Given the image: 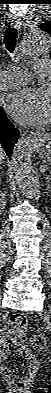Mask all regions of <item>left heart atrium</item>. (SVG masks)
<instances>
[{
	"mask_svg": "<svg viewBox=\"0 0 51 393\" xmlns=\"http://www.w3.org/2000/svg\"><path fill=\"white\" fill-rule=\"evenodd\" d=\"M6 108L14 119L29 126L47 125L51 120L50 95L43 90H18L8 96Z\"/></svg>",
	"mask_w": 51,
	"mask_h": 393,
	"instance_id": "39dd6f15",
	"label": "left heart atrium"
}]
</instances>
